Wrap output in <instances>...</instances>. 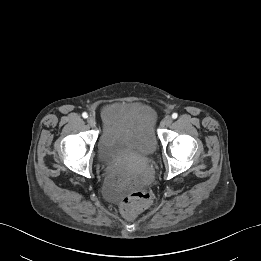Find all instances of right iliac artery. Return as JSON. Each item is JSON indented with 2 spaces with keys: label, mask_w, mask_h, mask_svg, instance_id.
Instances as JSON below:
<instances>
[{
  "label": "right iliac artery",
  "mask_w": 261,
  "mask_h": 261,
  "mask_svg": "<svg viewBox=\"0 0 261 261\" xmlns=\"http://www.w3.org/2000/svg\"><path fill=\"white\" fill-rule=\"evenodd\" d=\"M82 117L86 119V118L88 117V114H87L86 112H84V113L82 114Z\"/></svg>",
  "instance_id": "1"
}]
</instances>
